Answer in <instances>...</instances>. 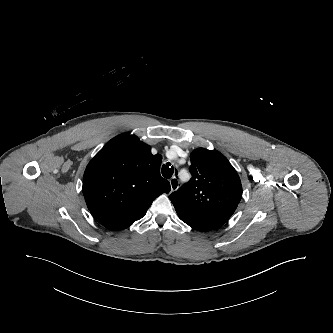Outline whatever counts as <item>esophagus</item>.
<instances>
[{"label":"esophagus","mask_w":333,"mask_h":333,"mask_svg":"<svg viewBox=\"0 0 333 333\" xmlns=\"http://www.w3.org/2000/svg\"><path fill=\"white\" fill-rule=\"evenodd\" d=\"M179 186V180L176 176L172 177L170 179V187H171V191H175L178 189Z\"/></svg>","instance_id":"obj_1"}]
</instances>
